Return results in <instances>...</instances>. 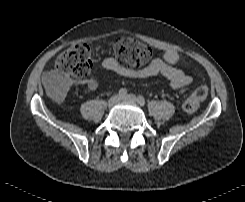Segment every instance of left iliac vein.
Segmentation results:
<instances>
[{
	"label": "left iliac vein",
	"instance_id": "1",
	"mask_svg": "<svg viewBox=\"0 0 245 202\" xmlns=\"http://www.w3.org/2000/svg\"><path fill=\"white\" fill-rule=\"evenodd\" d=\"M122 100L126 101V102H132V103H137L138 102V99L133 94H127V95L123 96Z\"/></svg>",
	"mask_w": 245,
	"mask_h": 202
}]
</instances>
